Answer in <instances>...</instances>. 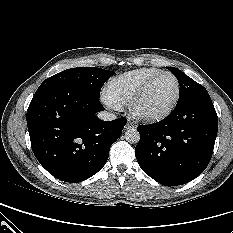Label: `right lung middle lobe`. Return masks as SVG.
<instances>
[{"instance_id":"dd1d6c3e","label":"right lung middle lobe","mask_w":233,"mask_h":233,"mask_svg":"<svg viewBox=\"0 0 233 233\" xmlns=\"http://www.w3.org/2000/svg\"><path fill=\"white\" fill-rule=\"evenodd\" d=\"M113 74L114 72L112 71L96 67H77L67 69L43 81L37 89L34 98L39 97L50 89L60 86L74 87L93 96L99 97L103 84Z\"/></svg>"}]
</instances>
